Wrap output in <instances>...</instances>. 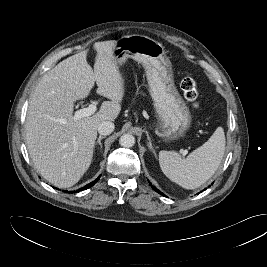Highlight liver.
Here are the masks:
<instances>
[{
  "mask_svg": "<svg viewBox=\"0 0 267 267\" xmlns=\"http://www.w3.org/2000/svg\"><path fill=\"white\" fill-rule=\"evenodd\" d=\"M116 41L94 44V71L87 52L68 57L49 70L31 95L26 118V143L35 168L59 188L76 184L89 169L97 129L120 113L124 79L112 56ZM104 101L93 116L74 119L77 100L86 98L95 85Z\"/></svg>",
  "mask_w": 267,
  "mask_h": 267,
  "instance_id": "liver-1",
  "label": "liver"
}]
</instances>
